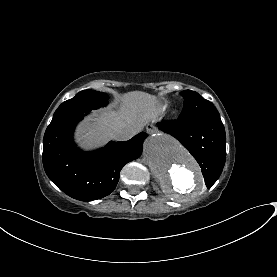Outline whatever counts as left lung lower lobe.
Returning a JSON list of instances; mask_svg holds the SVG:
<instances>
[{
    "mask_svg": "<svg viewBox=\"0 0 277 277\" xmlns=\"http://www.w3.org/2000/svg\"><path fill=\"white\" fill-rule=\"evenodd\" d=\"M158 128L180 141L201 167L206 186L219 178L226 160V135L220 118L162 121Z\"/></svg>",
    "mask_w": 277,
    "mask_h": 277,
    "instance_id": "1",
    "label": "left lung lower lobe"
}]
</instances>
